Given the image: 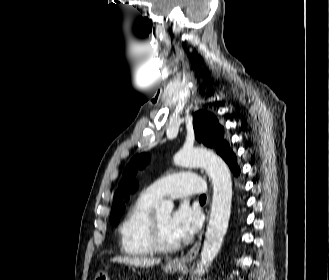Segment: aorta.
<instances>
[{
  "label": "aorta",
  "mask_w": 329,
  "mask_h": 280,
  "mask_svg": "<svg viewBox=\"0 0 329 280\" xmlns=\"http://www.w3.org/2000/svg\"><path fill=\"white\" fill-rule=\"evenodd\" d=\"M181 167H203L212 179L213 198L210 219L201 251L198 273L208 268L221 249L226 234L232 202V180L227 164L216 154L202 149H182L174 156ZM174 204L164 200L156 206L158 214H170Z\"/></svg>",
  "instance_id": "762f6f07"
}]
</instances>
